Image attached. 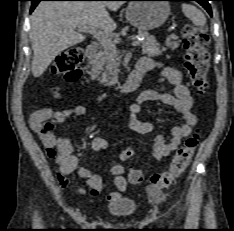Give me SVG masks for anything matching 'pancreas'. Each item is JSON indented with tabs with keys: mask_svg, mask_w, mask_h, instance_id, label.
<instances>
[{
	"mask_svg": "<svg viewBox=\"0 0 234 231\" xmlns=\"http://www.w3.org/2000/svg\"><path fill=\"white\" fill-rule=\"evenodd\" d=\"M140 36L144 37V40L140 42L143 54L154 57L160 55L165 51L164 47H160L153 35L147 32L140 31ZM176 35H170L165 41V45L171 49L178 47V42ZM90 71L88 74L91 76L92 80H99V82L105 86H112L118 82V67L119 58L116 49L105 48L98 51L96 55L90 60Z\"/></svg>",
	"mask_w": 234,
	"mask_h": 231,
	"instance_id": "obj_1",
	"label": "pancreas"
}]
</instances>
